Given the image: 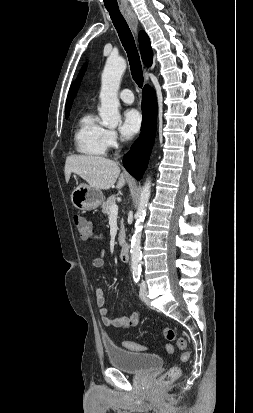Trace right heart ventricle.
I'll list each match as a JSON object with an SVG mask.
<instances>
[{"instance_id":"right-heart-ventricle-1","label":"right heart ventricle","mask_w":253,"mask_h":413,"mask_svg":"<svg viewBox=\"0 0 253 413\" xmlns=\"http://www.w3.org/2000/svg\"><path fill=\"white\" fill-rule=\"evenodd\" d=\"M106 129L92 112L84 113L76 126L74 144L77 152L89 157H102L106 154Z\"/></svg>"}]
</instances>
